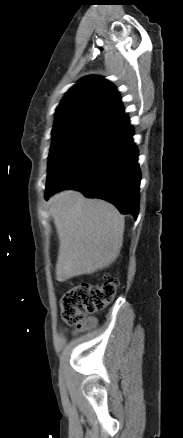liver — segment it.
Instances as JSON below:
<instances>
[{
    "mask_svg": "<svg viewBox=\"0 0 183 438\" xmlns=\"http://www.w3.org/2000/svg\"><path fill=\"white\" fill-rule=\"evenodd\" d=\"M49 204L60 244L59 282L107 268L118 258L125 221L112 204L73 190L54 195Z\"/></svg>",
    "mask_w": 183,
    "mask_h": 438,
    "instance_id": "obj_1",
    "label": "liver"
}]
</instances>
